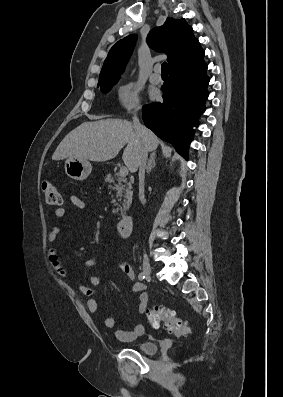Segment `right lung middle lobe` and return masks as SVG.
<instances>
[{"label": "right lung middle lobe", "instance_id": "obj_1", "mask_svg": "<svg viewBox=\"0 0 283 397\" xmlns=\"http://www.w3.org/2000/svg\"><path fill=\"white\" fill-rule=\"evenodd\" d=\"M118 79H111V80H106V81H100L99 80V84L101 87V90L103 92H107L110 90V88L117 82Z\"/></svg>", "mask_w": 283, "mask_h": 397}]
</instances>
